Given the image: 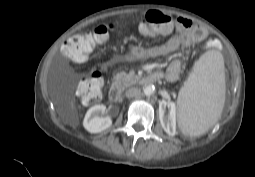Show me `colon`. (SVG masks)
<instances>
[{
    "mask_svg": "<svg viewBox=\"0 0 255 177\" xmlns=\"http://www.w3.org/2000/svg\"><path fill=\"white\" fill-rule=\"evenodd\" d=\"M172 26L170 16L158 10H149L140 22V32L143 35L155 36L168 32ZM111 26H97L93 29L75 34L67 39L62 47V53L67 58L83 62L92 53L94 45L106 40ZM210 44L214 42L210 41ZM103 76L99 70H92L88 77L79 82L77 94L86 104L98 103L101 99Z\"/></svg>",
    "mask_w": 255,
    "mask_h": 177,
    "instance_id": "1",
    "label": "colon"
}]
</instances>
